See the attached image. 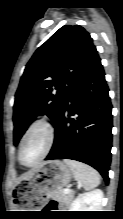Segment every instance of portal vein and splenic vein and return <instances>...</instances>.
<instances>
[{
	"label": "portal vein and splenic vein",
	"mask_w": 123,
	"mask_h": 219,
	"mask_svg": "<svg viewBox=\"0 0 123 219\" xmlns=\"http://www.w3.org/2000/svg\"><path fill=\"white\" fill-rule=\"evenodd\" d=\"M63 192H64L65 194H69V193L71 192V190L68 189V188H66V189L63 190Z\"/></svg>",
	"instance_id": "1"
}]
</instances>
